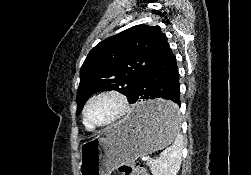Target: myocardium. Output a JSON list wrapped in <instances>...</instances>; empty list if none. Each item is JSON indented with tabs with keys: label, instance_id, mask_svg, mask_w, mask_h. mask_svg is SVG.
<instances>
[{
	"label": "myocardium",
	"instance_id": "obj_1",
	"mask_svg": "<svg viewBox=\"0 0 251 175\" xmlns=\"http://www.w3.org/2000/svg\"><path fill=\"white\" fill-rule=\"evenodd\" d=\"M108 94L115 95L120 100V102L122 104V112H121L120 116L115 121H113L112 123L107 124V125L97 126V125L89 124L88 109H89L90 104L96 98H99L103 95H108ZM131 111H132L131 101H130L128 95L123 90L118 89V88L103 89V90L95 93L94 95H92L88 99V101L86 102V104L83 108V123L86 128L94 130V131L106 130V129H110V128L120 124L121 122H123L130 115Z\"/></svg>",
	"mask_w": 251,
	"mask_h": 175
}]
</instances>
